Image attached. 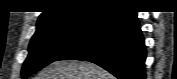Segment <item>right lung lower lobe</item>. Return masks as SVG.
<instances>
[{
	"label": "right lung lower lobe",
	"instance_id": "98d812e1",
	"mask_svg": "<svg viewBox=\"0 0 177 79\" xmlns=\"http://www.w3.org/2000/svg\"><path fill=\"white\" fill-rule=\"evenodd\" d=\"M146 49L136 12L115 8L58 60H85L118 79H145Z\"/></svg>",
	"mask_w": 177,
	"mask_h": 79
}]
</instances>
